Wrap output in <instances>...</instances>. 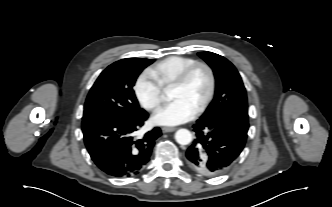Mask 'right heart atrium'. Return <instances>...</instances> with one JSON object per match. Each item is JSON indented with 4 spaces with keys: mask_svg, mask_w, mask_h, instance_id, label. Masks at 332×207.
<instances>
[{
    "mask_svg": "<svg viewBox=\"0 0 332 207\" xmlns=\"http://www.w3.org/2000/svg\"><path fill=\"white\" fill-rule=\"evenodd\" d=\"M135 94L140 104L148 111H155L162 102L160 84L148 72L142 73L135 82Z\"/></svg>",
    "mask_w": 332,
    "mask_h": 207,
    "instance_id": "obj_1",
    "label": "right heart atrium"
}]
</instances>
